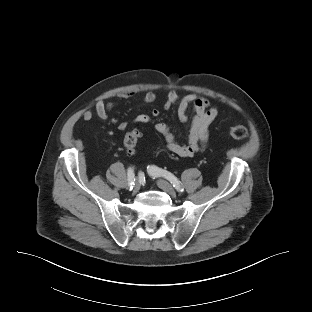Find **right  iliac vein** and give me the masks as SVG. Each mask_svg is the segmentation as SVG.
<instances>
[{
    "label": "right iliac vein",
    "instance_id": "1",
    "mask_svg": "<svg viewBox=\"0 0 312 312\" xmlns=\"http://www.w3.org/2000/svg\"><path fill=\"white\" fill-rule=\"evenodd\" d=\"M139 189H140V183L136 181L134 184L133 193L134 194L137 193Z\"/></svg>",
    "mask_w": 312,
    "mask_h": 312
}]
</instances>
